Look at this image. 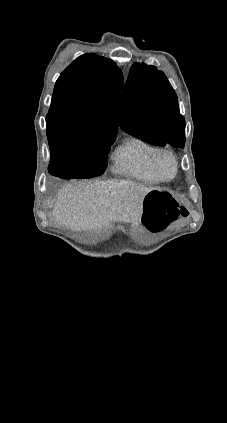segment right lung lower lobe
Here are the masks:
<instances>
[{
	"label": "right lung lower lobe",
	"instance_id": "obj_1",
	"mask_svg": "<svg viewBox=\"0 0 227 423\" xmlns=\"http://www.w3.org/2000/svg\"><path fill=\"white\" fill-rule=\"evenodd\" d=\"M48 169L51 175L62 179H70V174L73 172V168L71 166L62 163H50Z\"/></svg>",
	"mask_w": 227,
	"mask_h": 423
}]
</instances>
